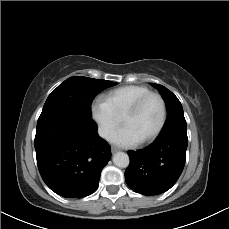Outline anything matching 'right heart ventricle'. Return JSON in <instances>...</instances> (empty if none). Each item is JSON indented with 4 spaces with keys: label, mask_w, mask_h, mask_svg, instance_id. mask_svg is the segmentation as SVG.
<instances>
[{
    "label": "right heart ventricle",
    "mask_w": 229,
    "mask_h": 229,
    "mask_svg": "<svg viewBox=\"0 0 229 229\" xmlns=\"http://www.w3.org/2000/svg\"><path fill=\"white\" fill-rule=\"evenodd\" d=\"M148 92H150L149 88L143 85H126L106 93L104 100L114 114L122 119L127 108L135 100Z\"/></svg>",
    "instance_id": "1"
}]
</instances>
